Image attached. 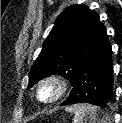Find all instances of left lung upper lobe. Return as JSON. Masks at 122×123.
<instances>
[{
	"label": "left lung upper lobe",
	"instance_id": "1",
	"mask_svg": "<svg viewBox=\"0 0 122 123\" xmlns=\"http://www.w3.org/2000/svg\"><path fill=\"white\" fill-rule=\"evenodd\" d=\"M108 42L99 15L86 5H72L56 19L29 73L28 87L60 74L72 84L92 56Z\"/></svg>",
	"mask_w": 122,
	"mask_h": 123
}]
</instances>
